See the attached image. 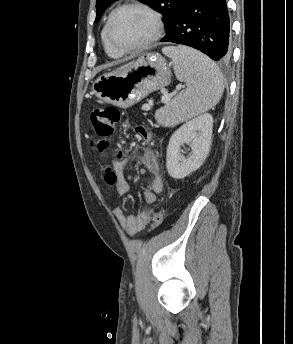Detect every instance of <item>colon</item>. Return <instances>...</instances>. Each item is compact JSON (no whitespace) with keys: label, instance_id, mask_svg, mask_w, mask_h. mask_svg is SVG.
Returning <instances> with one entry per match:
<instances>
[{"label":"colon","instance_id":"1","mask_svg":"<svg viewBox=\"0 0 293 344\" xmlns=\"http://www.w3.org/2000/svg\"><path fill=\"white\" fill-rule=\"evenodd\" d=\"M119 121L120 111L115 107H96L91 111L90 122L96 136L99 138V148L107 149L110 147L111 139ZM136 135L146 143L151 141V134L144 127H137ZM122 158L123 153L119 152L116 156V160L120 161ZM145 211L150 212L149 209H145ZM151 213L152 229H156L163 221V212L161 210H152Z\"/></svg>","mask_w":293,"mask_h":344}]
</instances>
